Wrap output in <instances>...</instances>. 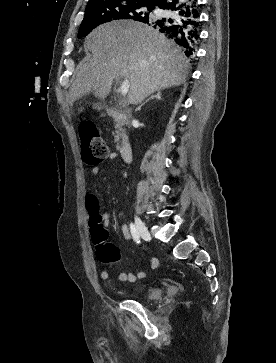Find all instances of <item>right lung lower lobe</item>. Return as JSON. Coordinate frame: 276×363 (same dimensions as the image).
I'll return each mask as SVG.
<instances>
[{
    "mask_svg": "<svg viewBox=\"0 0 276 363\" xmlns=\"http://www.w3.org/2000/svg\"><path fill=\"white\" fill-rule=\"evenodd\" d=\"M159 8L169 15L158 20H146L149 25L175 41L186 54L193 57L199 38V12L197 0H164Z\"/></svg>",
    "mask_w": 276,
    "mask_h": 363,
    "instance_id": "1",
    "label": "right lung lower lobe"
}]
</instances>
